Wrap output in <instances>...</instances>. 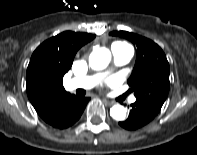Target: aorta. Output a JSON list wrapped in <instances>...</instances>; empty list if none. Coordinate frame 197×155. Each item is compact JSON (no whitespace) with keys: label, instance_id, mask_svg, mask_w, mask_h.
Returning a JSON list of instances; mask_svg holds the SVG:
<instances>
[{"label":"aorta","instance_id":"1","mask_svg":"<svg viewBox=\"0 0 197 155\" xmlns=\"http://www.w3.org/2000/svg\"><path fill=\"white\" fill-rule=\"evenodd\" d=\"M111 60V52L107 48H98L92 51L89 56V65L94 70L106 68ZM126 108L116 104L110 109L111 117L116 121H122L126 118Z\"/></svg>","mask_w":197,"mask_h":155}]
</instances>
